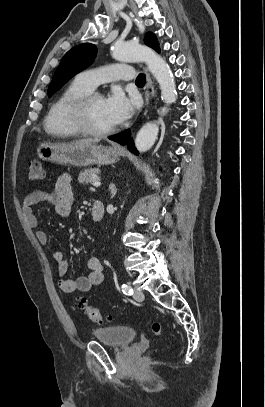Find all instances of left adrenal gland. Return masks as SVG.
<instances>
[{
    "mask_svg": "<svg viewBox=\"0 0 265 407\" xmlns=\"http://www.w3.org/2000/svg\"><path fill=\"white\" fill-rule=\"evenodd\" d=\"M109 189L111 191V198H113L117 193V188L113 183L110 184Z\"/></svg>",
    "mask_w": 265,
    "mask_h": 407,
    "instance_id": "left-adrenal-gland-1",
    "label": "left adrenal gland"
}]
</instances>
